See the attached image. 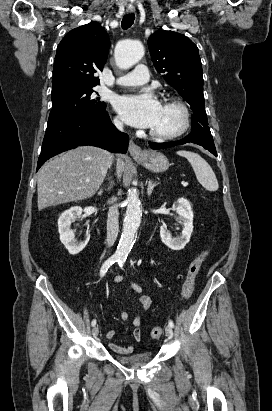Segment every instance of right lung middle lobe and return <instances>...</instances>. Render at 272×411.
<instances>
[{
	"label": "right lung middle lobe",
	"instance_id": "1",
	"mask_svg": "<svg viewBox=\"0 0 272 411\" xmlns=\"http://www.w3.org/2000/svg\"><path fill=\"white\" fill-rule=\"evenodd\" d=\"M93 87L68 92L60 97L52 98V110L48 124L65 117L82 113H100L106 110V104L95 98Z\"/></svg>",
	"mask_w": 272,
	"mask_h": 411
}]
</instances>
